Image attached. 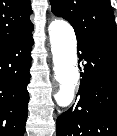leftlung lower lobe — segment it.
Returning <instances> with one entry per match:
<instances>
[{
  "label": "left lung lower lobe",
  "mask_w": 117,
  "mask_h": 136,
  "mask_svg": "<svg viewBox=\"0 0 117 136\" xmlns=\"http://www.w3.org/2000/svg\"><path fill=\"white\" fill-rule=\"evenodd\" d=\"M77 41L84 72L77 102L57 119V136H117V49Z\"/></svg>",
  "instance_id": "left-lung-lower-lobe-1"
}]
</instances>
